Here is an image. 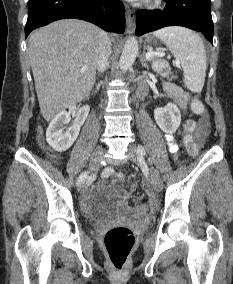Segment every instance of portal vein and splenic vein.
Listing matches in <instances>:
<instances>
[{"label":"portal vein and splenic vein","instance_id":"1","mask_svg":"<svg viewBox=\"0 0 233 284\" xmlns=\"http://www.w3.org/2000/svg\"><path fill=\"white\" fill-rule=\"evenodd\" d=\"M155 56L163 57V56H165V53H163V52L148 51V52L145 54V57H146L147 60H150V59H152V58L155 57ZM176 64H178V62H176ZM81 72H85V69H82Z\"/></svg>","mask_w":233,"mask_h":284}]
</instances>
